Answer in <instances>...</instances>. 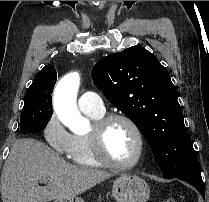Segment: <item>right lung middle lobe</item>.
<instances>
[{
  "label": "right lung middle lobe",
  "instance_id": "obj_1",
  "mask_svg": "<svg viewBox=\"0 0 209 202\" xmlns=\"http://www.w3.org/2000/svg\"><path fill=\"white\" fill-rule=\"evenodd\" d=\"M56 79L34 80L24 97V107L20 116V132L43 130L52 117V91Z\"/></svg>",
  "mask_w": 209,
  "mask_h": 202
}]
</instances>
